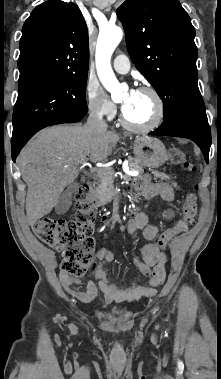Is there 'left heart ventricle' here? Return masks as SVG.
Here are the masks:
<instances>
[{
  "mask_svg": "<svg viewBox=\"0 0 221 379\" xmlns=\"http://www.w3.org/2000/svg\"><path fill=\"white\" fill-rule=\"evenodd\" d=\"M122 104H126L123 112L126 118L135 124H147L155 114V103L153 98L146 93L137 92L134 98H129V93L122 97Z\"/></svg>",
  "mask_w": 221,
  "mask_h": 379,
  "instance_id": "1",
  "label": "left heart ventricle"
}]
</instances>
